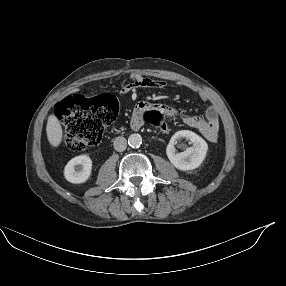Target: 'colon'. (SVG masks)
Here are the masks:
<instances>
[{
    "label": "colon",
    "instance_id": "5ec220e1",
    "mask_svg": "<svg viewBox=\"0 0 286 286\" xmlns=\"http://www.w3.org/2000/svg\"><path fill=\"white\" fill-rule=\"evenodd\" d=\"M118 112L117 99L108 94L84 98L70 94L55 106V115L64 127V141L73 151H83L100 141L105 128ZM145 126L165 132L173 124L170 114L163 115L159 109L148 110L143 117Z\"/></svg>",
    "mask_w": 286,
    "mask_h": 286
}]
</instances>
